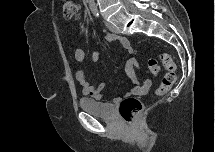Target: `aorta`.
<instances>
[{"label": "aorta", "mask_w": 215, "mask_h": 152, "mask_svg": "<svg viewBox=\"0 0 215 152\" xmlns=\"http://www.w3.org/2000/svg\"><path fill=\"white\" fill-rule=\"evenodd\" d=\"M89 4H90L91 8H95L96 7V4H95L94 0H89Z\"/></svg>", "instance_id": "obj_1"}]
</instances>
